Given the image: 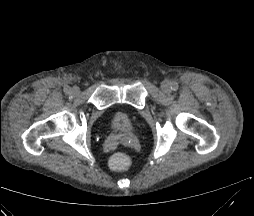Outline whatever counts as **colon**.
I'll list each match as a JSON object with an SVG mask.
<instances>
[{
	"instance_id": "1",
	"label": "colon",
	"mask_w": 254,
	"mask_h": 216,
	"mask_svg": "<svg viewBox=\"0 0 254 216\" xmlns=\"http://www.w3.org/2000/svg\"><path fill=\"white\" fill-rule=\"evenodd\" d=\"M108 166L114 171H124L130 166V158L125 153H116L108 160Z\"/></svg>"
}]
</instances>
